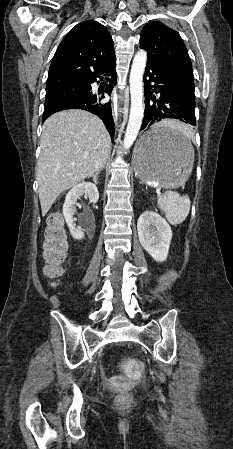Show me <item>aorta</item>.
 Segmentation results:
<instances>
[{
	"instance_id": "obj_1",
	"label": "aorta",
	"mask_w": 233,
	"mask_h": 449,
	"mask_svg": "<svg viewBox=\"0 0 233 449\" xmlns=\"http://www.w3.org/2000/svg\"><path fill=\"white\" fill-rule=\"evenodd\" d=\"M147 62V52L139 50L132 63L130 72L131 109L129 121L124 136L123 145L128 149L134 143L143 119V74Z\"/></svg>"
}]
</instances>
